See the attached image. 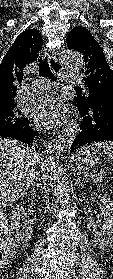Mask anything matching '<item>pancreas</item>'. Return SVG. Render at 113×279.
I'll list each match as a JSON object with an SVG mask.
<instances>
[{"instance_id":"pancreas-1","label":"pancreas","mask_w":113,"mask_h":279,"mask_svg":"<svg viewBox=\"0 0 113 279\" xmlns=\"http://www.w3.org/2000/svg\"><path fill=\"white\" fill-rule=\"evenodd\" d=\"M85 175H86L87 179L91 180L92 182H94L96 184H99L102 180V177L94 175V174L86 173Z\"/></svg>"}]
</instances>
